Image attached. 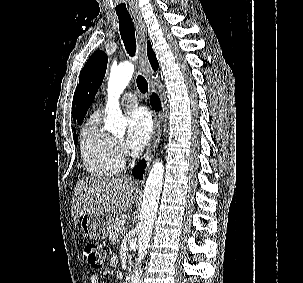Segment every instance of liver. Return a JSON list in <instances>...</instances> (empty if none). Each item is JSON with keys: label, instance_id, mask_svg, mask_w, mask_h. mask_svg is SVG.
Here are the masks:
<instances>
[{"label": "liver", "instance_id": "obj_1", "mask_svg": "<svg viewBox=\"0 0 303 283\" xmlns=\"http://www.w3.org/2000/svg\"><path fill=\"white\" fill-rule=\"evenodd\" d=\"M134 190V181L129 176L80 180L73 197L75 223L87 213H125L134 202Z\"/></svg>", "mask_w": 303, "mask_h": 283}]
</instances>
